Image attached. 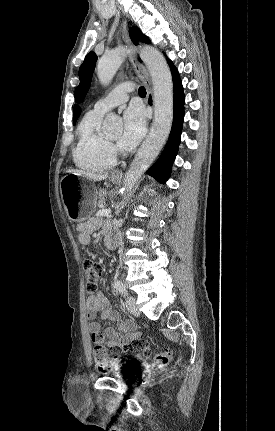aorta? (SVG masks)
<instances>
[{
	"label": "aorta",
	"instance_id": "1",
	"mask_svg": "<svg viewBox=\"0 0 275 431\" xmlns=\"http://www.w3.org/2000/svg\"><path fill=\"white\" fill-rule=\"evenodd\" d=\"M130 53L126 48H116L101 57L97 64V75L103 85H108L116 71ZM153 84L154 119L148 136L131 162L124 179L122 193L128 195L135 182L150 167L158 156L170 133L173 119V82L168 64L163 55L153 47L145 46L140 50ZM121 126L119 117L107 115L103 128L111 134Z\"/></svg>",
	"mask_w": 275,
	"mask_h": 431
}]
</instances>
